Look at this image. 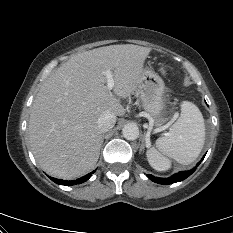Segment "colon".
I'll return each mask as SVG.
<instances>
[{"label":"colon","instance_id":"colon-1","mask_svg":"<svg viewBox=\"0 0 233 233\" xmlns=\"http://www.w3.org/2000/svg\"><path fill=\"white\" fill-rule=\"evenodd\" d=\"M165 71V68H162V72ZM147 157L152 166L158 171H167L171 167L170 160L162 155L155 147L147 149Z\"/></svg>","mask_w":233,"mask_h":233}]
</instances>
